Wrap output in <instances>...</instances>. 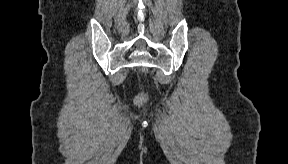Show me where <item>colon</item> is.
I'll use <instances>...</instances> for the list:
<instances>
[{"label":"colon","instance_id":"5ec220e1","mask_svg":"<svg viewBox=\"0 0 288 164\" xmlns=\"http://www.w3.org/2000/svg\"><path fill=\"white\" fill-rule=\"evenodd\" d=\"M143 100H144V97H139L138 102H139V103H142Z\"/></svg>","mask_w":288,"mask_h":164}]
</instances>
